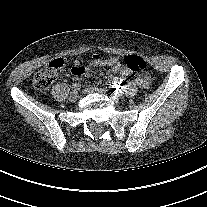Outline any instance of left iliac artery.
<instances>
[{
	"instance_id": "1",
	"label": "left iliac artery",
	"mask_w": 207,
	"mask_h": 207,
	"mask_svg": "<svg viewBox=\"0 0 207 207\" xmlns=\"http://www.w3.org/2000/svg\"><path fill=\"white\" fill-rule=\"evenodd\" d=\"M114 96H117V97H119V96H120V97H123L122 91H121V90H119V91H118V90H115V91H114Z\"/></svg>"
}]
</instances>
